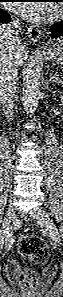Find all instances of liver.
Returning a JSON list of instances; mask_svg holds the SVG:
<instances>
[{"label": "liver", "mask_w": 63, "mask_h": 297, "mask_svg": "<svg viewBox=\"0 0 63 297\" xmlns=\"http://www.w3.org/2000/svg\"><path fill=\"white\" fill-rule=\"evenodd\" d=\"M8 46H9L8 35L2 33L0 28V56H1V53H5L7 51ZM16 52H17V55H16L17 63L18 65H22L24 61L27 59L28 50L26 48V45L20 42V44L16 46Z\"/></svg>", "instance_id": "1"}]
</instances>
